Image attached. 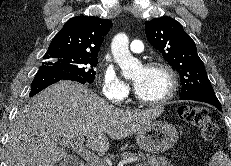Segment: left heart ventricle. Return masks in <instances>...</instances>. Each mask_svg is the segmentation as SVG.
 <instances>
[{"instance_id":"obj_1","label":"left heart ventricle","mask_w":231,"mask_h":166,"mask_svg":"<svg viewBox=\"0 0 231 166\" xmlns=\"http://www.w3.org/2000/svg\"><path fill=\"white\" fill-rule=\"evenodd\" d=\"M134 83H138L135 89L137 94L146 100H156L163 97L169 89L170 81L162 69L139 68L132 76Z\"/></svg>"}]
</instances>
